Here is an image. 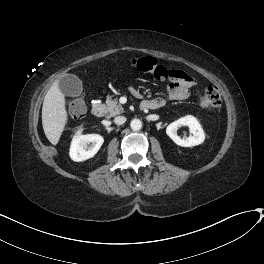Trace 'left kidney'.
<instances>
[{"label":"left kidney","mask_w":264,"mask_h":264,"mask_svg":"<svg viewBox=\"0 0 264 264\" xmlns=\"http://www.w3.org/2000/svg\"><path fill=\"white\" fill-rule=\"evenodd\" d=\"M181 126H188L191 136L186 138H181L177 135L178 128ZM166 134L179 146L182 147H192L199 145L204 142L205 134L204 131L198 122V120L191 116H184L171 124H169L166 128Z\"/></svg>","instance_id":"left-kidney-1"}]
</instances>
